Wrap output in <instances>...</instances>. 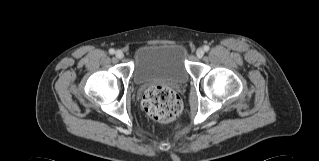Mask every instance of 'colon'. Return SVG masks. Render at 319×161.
<instances>
[{"label":"colon","mask_w":319,"mask_h":161,"mask_svg":"<svg viewBox=\"0 0 319 161\" xmlns=\"http://www.w3.org/2000/svg\"><path fill=\"white\" fill-rule=\"evenodd\" d=\"M142 106L149 117L159 122L173 121L182 111L180 97L171 88L160 85L145 92Z\"/></svg>","instance_id":"5ec220e1"}]
</instances>
